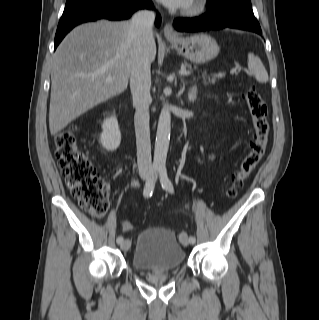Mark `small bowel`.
Instances as JSON below:
<instances>
[{"instance_id": "small-bowel-1", "label": "small bowel", "mask_w": 319, "mask_h": 320, "mask_svg": "<svg viewBox=\"0 0 319 320\" xmlns=\"http://www.w3.org/2000/svg\"><path fill=\"white\" fill-rule=\"evenodd\" d=\"M139 183H138V181H136V180H134L133 182H132V185H134V186H137Z\"/></svg>"}]
</instances>
